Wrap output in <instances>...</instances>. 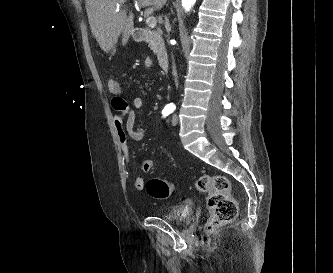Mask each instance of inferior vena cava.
Here are the masks:
<instances>
[{
    "label": "inferior vena cava",
    "mask_w": 333,
    "mask_h": 273,
    "mask_svg": "<svg viewBox=\"0 0 333 273\" xmlns=\"http://www.w3.org/2000/svg\"><path fill=\"white\" fill-rule=\"evenodd\" d=\"M165 27H166V29H169V27H170V23H169V20L167 17H165ZM172 74L174 76L175 84H176V86H178V75H177V70H176L174 60L172 63Z\"/></svg>",
    "instance_id": "1"
}]
</instances>
